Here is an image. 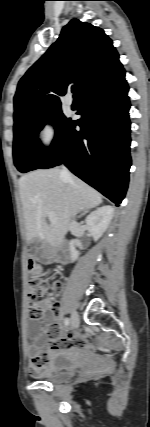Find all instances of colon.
Returning <instances> with one entry per match:
<instances>
[{"label":"colon","mask_w":150,"mask_h":427,"mask_svg":"<svg viewBox=\"0 0 150 427\" xmlns=\"http://www.w3.org/2000/svg\"><path fill=\"white\" fill-rule=\"evenodd\" d=\"M52 279L49 272H45L38 263L30 260L27 297L31 319H40L45 307L51 311L50 295L55 287Z\"/></svg>","instance_id":"5ec220e1"}]
</instances>
